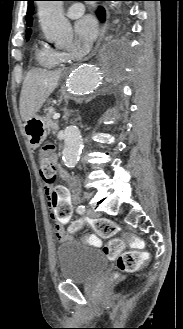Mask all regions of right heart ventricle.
I'll use <instances>...</instances> for the list:
<instances>
[{"label":"right heart ventricle","mask_w":183,"mask_h":329,"mask_svg":"<svg viewBox=\"0 0 183 329\" xmlns=\"http://www.w3.org/2000/svg\"><path fill=\"white\" fill-rule=\"evenodd\" d=\"M35 58L38 64L45 68H53L64 60L61 52L46 45L37 50Z\"/></svg>","instance_id":"obj_1"}]
</instances>
